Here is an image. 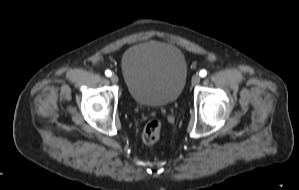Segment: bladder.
<instances>
[{
    "instance_id": "31cf9c89",
    "label": "bladder",
    "mask_w": 299,
    "mask_h": 190,
    "mask_svg": "<svg viewBox=\"0 0 299 190\" xmlns=\"http://www.w3.org/2000/svg\"><path fill=\"white\" fill-rule=\"evenodd\" d=\"M121 69L131 97L144 106L174 102L187 79L185 55L178 47L165 42L133 45L123 54Z\"/></svg>"
}]
</instances>
